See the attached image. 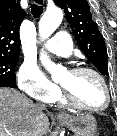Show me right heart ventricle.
Instances as JSON below:
<instances>
[{"instance_id": "obj_1", "label": "right heart ventricle", "mask_w": 117, "mask_h": 136, "mask_svg": "<svg viewBox=\"0 0 117 136\" xmlns=\"http://www.w3.org/2000/svg\"><path fill=\"white\" fill-rule=\"evenodd\" d=\"M58 100H60L61 102H63V100L61 99V97L58 95L57 98Z\"/></svg>"}]
</instances>
